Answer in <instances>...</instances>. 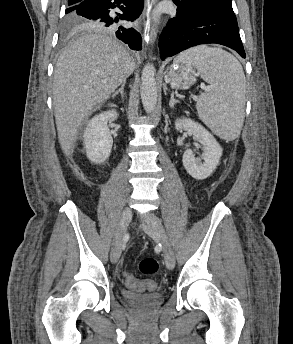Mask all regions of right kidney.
Masks as SVG:
<instances>
[{"label": "right kidney", "mask_w": 293, "mask_h": 344, "mask_svg": "<svg viewBox=\"0 0 293 344\" xmlns=\"http://www.w3.org/2000/svg\"><path fill=\"white\" fill-rule=\"evenodd\" d=\"M116 110L104 111L88 121L83 139L88 159L95 164L104 163L110 156L113 139L108 128L109 120H116Z\"/></svg>", "instance_id": "1"}]
</instances>
